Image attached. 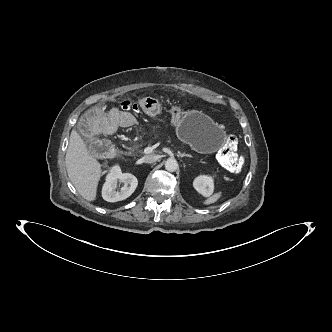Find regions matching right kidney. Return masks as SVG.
I'll return each instance as SVG.
<instances>
[{
  "instance_id": "ca27d5eb",
  "label": "right kidney",
  "mask_w": 332,
  "mask_h": 332,
  "mask_svg": "<svg viewBox=\"0 0 332 332\" xmlns=\"http://www.w3.org/2000/svg\"><path fill=\"white\" fill-rule=\"evenodd\" d=\"M122 182L124 186L118 191L117 183ZM138 185L137 178L130 173H122L118 165L110 169L106 182L102 188V197L107 202H117L128 198L135 191Z\"/></svg>"
}]
</instances>
